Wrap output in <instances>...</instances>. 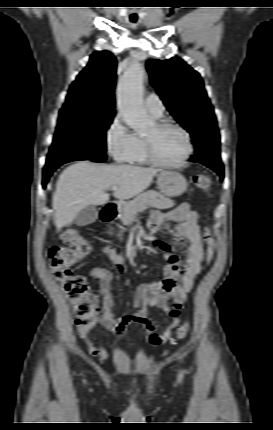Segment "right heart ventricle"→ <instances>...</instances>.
Listing matches in <instances>:
<instances>
[{
    "instance_id": "e07e8e85",
    "label": "right heart ventricle",
    "mask_w": 273,
    "mask_h": 430,
    "mask_svg": "<svg viewBox=\"0 0 273 430\" xmlns=\"http://www.w3.org/2000/svg\"><path fill=\"white\" fill-rule=\"evenodd\" d=\"M138 139H139V143H140L139 149L134 154V156L130 162L133 164H137V165H144V164H147L149 162L148 158H147V154H146V146H145V142H144L143 138L138 137Z\"/></svg>"
}]
</instances>
